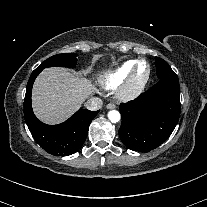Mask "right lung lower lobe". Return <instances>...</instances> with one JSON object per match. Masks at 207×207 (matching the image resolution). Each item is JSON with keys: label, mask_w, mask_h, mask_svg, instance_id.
Listing matches in <instances>:
<instances>
[{"label": "right lung lower lobe", "mask_w": 207, "mask_h": 207, "mask_svg": "<svg viewBox=\"0 0 207 207\" xmlns=\"http://www.w3.org/2000/svg\"><path fill=\"white\" fill-rule=\"evenodd\" d=\"M42 70H34L31 74L24 99V117L35 141L48 153L54 155H70L83 145L90 122L99 111L81 109L64 123L47 125L39 121L32 111L31 91L35 78Z\"/></svg>", "instance_id": "right-lung-lower-lobe-1"}]
</instances>
